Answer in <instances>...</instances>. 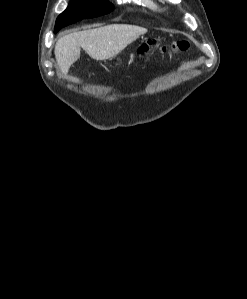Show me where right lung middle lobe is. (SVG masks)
<instances>
[{
	"instance_id": "1",
	"label": "right lung middle lobe",
	"mask_w": 247,
	"mask_h": 299,
	"mask_svg": "<svg viewBox=\"0 0 247 299\" xmlns=\"http://www.w3.org/2000/svg\"><path fill=\"white\" fill-rule=\"evenodd\" d=\"M112 10L113 5L106 0H71L66 10L57 18L54 33L79 20L98 17Z\"/></svg>"
}]
</instances>
